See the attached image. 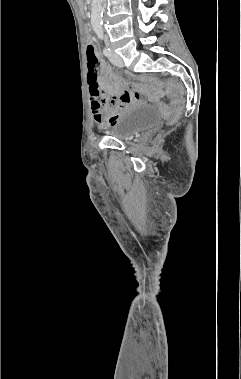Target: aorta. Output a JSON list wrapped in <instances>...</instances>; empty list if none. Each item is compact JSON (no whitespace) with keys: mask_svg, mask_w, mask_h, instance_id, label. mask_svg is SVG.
<instances>
[{"mask_svg":"<svg viewBox=\"0 0 241 379\" xmlns=\"http://www.w3.org/2000/svg\"><path fill=\"white\" fill-rule=\"evenodd\" d=\"M102 2L103 0H92L91 24L95 31L102 30Z\"/></svg>","mask_w":241,"mask_h":379,"instance_id":"762f6f07","label":"aorta"}]
</instances>
